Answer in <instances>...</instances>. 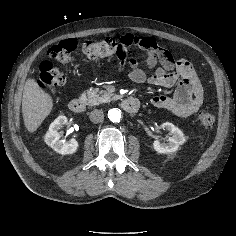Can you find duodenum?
<instances>
[{
  "instance_id": "duodenum-1",
  "label": "duodenum",
  "mask_w": 236,
  "mask_h": 236,
  "mask_svg": "<svg viewBox=\"0 0 236 236\" xmlns=\"http://www.w3.org/2000/svg\"><path fill=\"white\" fill-rule=\"evenodd\" d=\"M121 107L128 113H136L139 110L140 102L137 98L127 97L121 101ZM69 108L74 113H82L86 109V102L81 98L72 99Z\"/></svg>"
}]
</instances>
